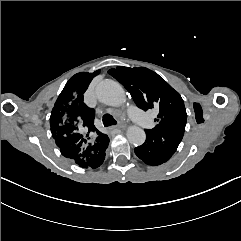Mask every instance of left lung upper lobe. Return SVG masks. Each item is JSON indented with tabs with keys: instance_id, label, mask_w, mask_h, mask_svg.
Here are the masks:
<instances>
[{
	"instance_id": "5c2ea615",
	"label": "left lung upper lobe",
	"mask_w": 241,
	"mask_h": 241,
	"mask_svg": "<svg viewBox=\"0 0 241 241\" xmlns=\"http://www.w3.org/2000/svg\"><path fill=\"white\" fill-rule=\"evenodd\" d=\"M108 73L123 84L139 108L145 111L159 108L158 124L151 130L186 125L187 114L182 97L157 73L145 67L122 66L110 69Z\"/></svg>"
}]
</instances>
